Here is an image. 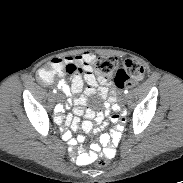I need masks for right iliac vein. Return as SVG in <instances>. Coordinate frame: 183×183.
Wrapping results in <instances>:
<instances>
[{
    "mask_svg": "<svg viewBox=\"0 0 183 183\" xmlns=\"http://www.w3.org/2000/svg\"><path fill=\"white\" fill-rule=\"evenodd\" d=\"M56 97H57V99H60L62 96H61V94H57Z\"/></svg>",
    "mask_w": 183,
    "mask_h": 183,
    "instance_id": "right-iliac-vein-1",
    "label": "right iliac vein"
}]
</instances>
